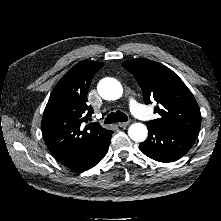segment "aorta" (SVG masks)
<instances>
[{
	"label": "aorta",
	"instance_id": "1",
	"mask_svg": "<svg viewBox=\"0 0 221 221\" xmlns=\"http://www.w3.org/2000/svg\"><path fill=\"white\" fill-rule=\"evenodd\" d=\"M97 90L105 100H116L123 94L122 85L113 78L102 79L98 83ZM128 135L133 141L143 142L147 138L148 130L142 123H133L128 129Z\"/></svg>",
	"mask_w": 221,
	"mask_h": 221
}]
</instances>
